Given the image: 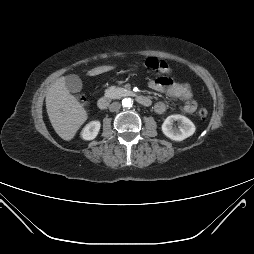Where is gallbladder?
<instances>
[{"label":"gallbladder","mask_w":254,"mask_h":254,"mask_svg":"<svg viewBox=\"0 0 254 254\" xmlns=\"http://www.w3.org/2000/svg\"><path fill=\"white\" fill-rule=\"evenodd\" d=\"M66 88L72 92L77 93L82 89V81L77 75H68L65 77Z\"/></svg>","instance_id":"obj_1"}]
</instances>
